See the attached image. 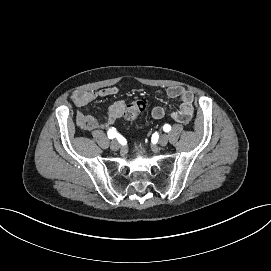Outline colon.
<instances>
[{
    "label": "colon",
    "mask_w": 271,
    "mask_h": 271,
    "mask_svg": "<svg viewBox=\"0 0 271 271\" xmlns=\"http://www.w3.org/2000/svg\"><path fill=\"white\" fill-rule=\"evenodd\" d=\"M146 108V101L142 99L134 100L127 105L124 117L128 121L135 120Z\"/></svg>",
    "instance_id": "1"
}]
</instances>
